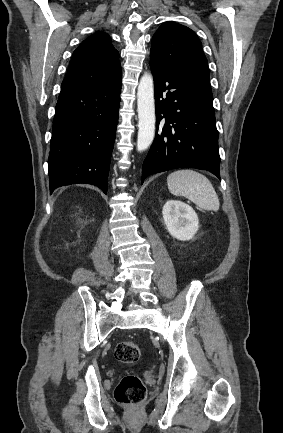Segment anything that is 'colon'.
I'll return each mask as SVG.
<instances>
[{
	"label": "colon",
	"instance_id": "obj_1",
	"mask_svg": "<svg viewBox=\"0 0 283 433\" xmlns=\"http://www.w3.org/2000/svg\"><path fill=\"white\" fill-rule=\"evenodd\" d=\"M115 358L126 365L134 366L140 359L139 346L133 341L120 342L115 348ZM146 396V388L136 375L124 376L115 389L118 402L135 406L140 404Z\"/></svg>",
	"mask_w": 283,
	"mask_h": 433
}]
</instances>
